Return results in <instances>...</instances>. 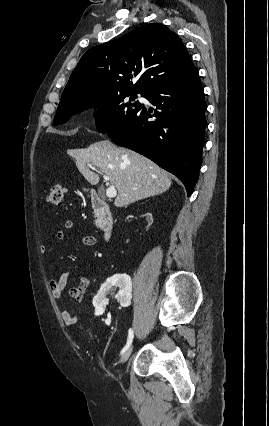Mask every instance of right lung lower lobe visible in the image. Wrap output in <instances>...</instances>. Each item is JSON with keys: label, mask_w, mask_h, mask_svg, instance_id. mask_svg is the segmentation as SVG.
<instances>
[{"label": "right lung lower lobe", "mask_w": 269, "mask_h": 426, "mask_svg": "<svg viewBox=\"0 0 269 426\" xmlns=\"http://www.w3.org/2000/svg\"><path fill=\"white\" fill-rule=\"evenodd\" d=\"M144 97L156 109L141 107L108 136L176 175L190 196L201 167L207 124L197 69L149 89Z\"/></svg>", "instance_id": "obj_1"}]
</instances>
